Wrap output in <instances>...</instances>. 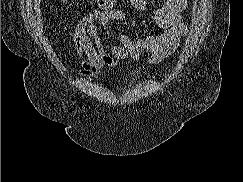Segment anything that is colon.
<instances>
[{"label": "colon", "mask_w": 243, "mask_h": 182, "mask_svg": "<svg viewBox=\"0 0 243 182\" xmlns=\"http://www.w3.org/2000/svg\"><path fill=\"white\" fill-rule=\"evenodd\" d=\"M98 6L103 11L113 10L114 0H98Z\"/></svg>", "instance_id": "1"}]
</instances>
